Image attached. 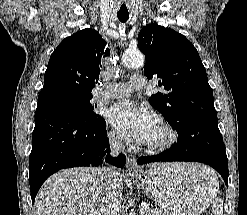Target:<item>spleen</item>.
Segmentation results:
<instances>
[{
  "mask_svg": "<svg viewBox=\"0 0 247 215\" xmlns=\"http://www.w3.org/2000/svg\"><path fill=\"white\" fill-rule=\"evenodd\" d=\"M212 215H223V201L220 198L213 200Z\"/></svg>",
  "mask_w": 247,
  "mask_h": 215,
  "instance_id": "spleen-1",
  "label": "spleen"
}]
</instances>
